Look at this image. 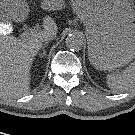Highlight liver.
<instances>
[{"mask_svg":"<svg viewBox=\"0 0 135 135\" xmlns=\"http://www.w3.org/2000/svg\"><path fill=\"white\" fill-rule=\"evenodd\" d=\"M45 32L57 33L50 17L44 19L42 31L29 36L0 34V96L16 98L29 93L31 65L42 48Z\"/></svg>","mask_w":135,"mask_h":135,"instance_id":"6515ba94","label":"liver"}]
</instances>
